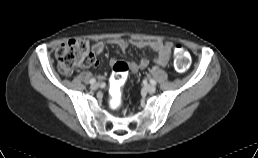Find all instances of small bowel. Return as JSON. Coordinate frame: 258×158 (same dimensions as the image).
<instances>
[{"instance_id": "small-bowel-1", "label": "small bowel", "mask_w": 258, "mask_h": 158, "mask_svg": "<svg viewBox=\"0 0 258 158\" xmlns=\"http://www.w3.org/2000/svg\"><path fill=\"white\" fill-rule=\"evenodd\" d=\"M132 44L139 48H148L157 52V57L155 58V63L160 66H166L169 63L171 52H172V43L169 41L162 40H125L121 38H113L108 41H99L96 42L91 50L95 55H99L103 52L107 45H114L120 48V50L125 53L127 47ZM117 61L115 59L110 60V64L114 65ZM149 65V59L143 57L140 59L139 63L131 62L129 63L130 71L137 72L138 70L145 69Z\"/></svg>"}]
</instances>
